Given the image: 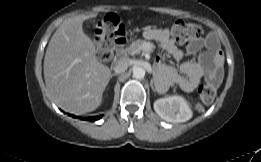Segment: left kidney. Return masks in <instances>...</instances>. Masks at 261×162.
Here are the masks:
<instances>
[{"label": "left kidney", "instance_id": "5707ae66", "mask_svg": "<svg viewBox=\"0 0 261 162\" xmlns=\"http://www.w3.org/2000/svg\"><path fill=\"white\" fill-rule=\"evenodd\" d=\"M153 106L155 112L167 122H186L193 114L187 101L181 96L158 99Z\"/></svg>", "mask_w": 261, "mask_h": 162}]
</instances>
